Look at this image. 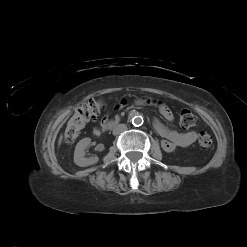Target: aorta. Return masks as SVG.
<instances>
[{
    "instance_id": "aorta-1",
    "label": "aorta",
    "mask_w": 247,
    "mask_h": 247,
    "mask_svg": "<svg viewBox=\"0 0 247 247\" xmlns=\"http://www.w3.org/2000/svg\"><path fill=\"white\" fill-rule=\"evenodd\" d=\"M129 117L134 126H141L143 124V117L138 112L131 111Z\"/></svg>"
}]
</instances>
